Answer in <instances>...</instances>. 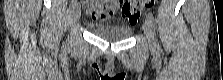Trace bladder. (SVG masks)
Listing matches in <instances>:
<instances>
[{
	"mask_svg": "<svg viewBox=\"0 0 223 80\" xmlns=\"http://www.w3.org/2000/svg\"><path fill=\"white\" fill-rule=\"evenodd\" d=\"M86 26L93 35L111 41L125 40L133 33L132 28L119 24L88 22Z\"/></svg>",
	"mask_w": 223,
	"mask_h": 80,
	"instance_id": "31cf9c89",
	"label": "bladder"
}]
</instances>
